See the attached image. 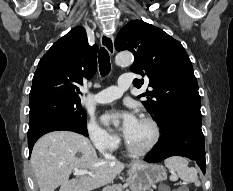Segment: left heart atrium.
I'll return each instance as SVG.
<instances>
[{
  "label": "left heart atrium",
  "instance_id": "1",
  "mask_svg": "<svg viewBox=\"0 0 233 191\" xmlns=\"http://www.w3.org/2000/svg\"><path fill=\"white\" fill-rule=\"evenodd\" d=\"M117 118L121 120L119 130L127 137L138 121L137 117L131 112L108 113L102 117V120L105 124L110 125Z\"/></svg>",
  "mask_w": 233,
  "mask_h": 191
}]
</instances>
